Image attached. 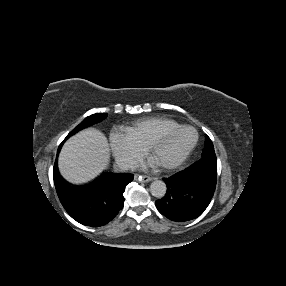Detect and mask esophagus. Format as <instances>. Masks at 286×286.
<instances>
[{
	"instance_id": "34e87169",
	"label": "esophagus",
	"mask_w": 286,
	"mask_h": 286,
	"mask_svg": "<svg viewBox=\"0 0 286 286\" xmlns=\"http://www.w3.org/2000/svg\"><path fill=\"white\" fill-rule=\"evenodd\" d=\"M135 179L141 182H149L152 180V177L147 175H135Z\"/></svg>"
}]
</instances>
